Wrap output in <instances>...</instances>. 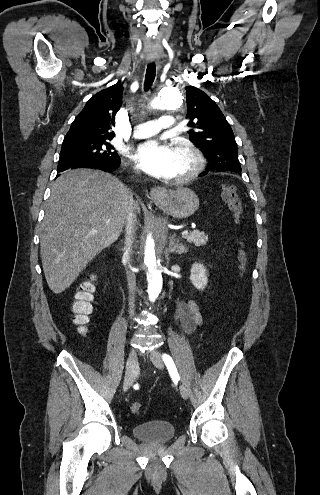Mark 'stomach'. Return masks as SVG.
Here are the masks:
<instances>
[{
	"label": "stomach",
	"instance_id": "stomach-1",
	"mask_svg": "<svg viewBox=\"0 0 320 495\" xmlns=\"http://www.w3.org/2000/svg\"><path fill=\"white\" fill-rule=\"evenodd\" d=\"M155 203L160 209L180 219L193 215L199 207L197 195L188 188L165 192L162 199Z\"/></svg>",
	"mask_w": 320,
	"mask_h": 495
}]
</instances>
